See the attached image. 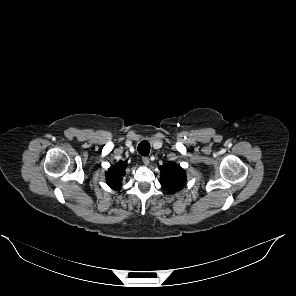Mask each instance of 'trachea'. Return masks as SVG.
<instances>
[{
	"instance_id": "obj_1",
	"label": "trachea",
	"mask_w": 296,
	"mask_h": 296,
	"mask_svg": "<svg viewBox=\"0 0 296 296\" xmlns=\"http://www.w3.org/2000/svg\"><path fill=\"white\" fill-rule=\"evenodd\" d=\"M138 152L142 156H148L150 153V143L148 141H142L138 145Z\"/></svg>"
}]
</instances>
